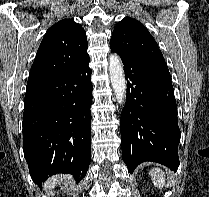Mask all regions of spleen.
I'll return each instance as SVG.
<instances>
[{"label": "spleen", "mask_w": 209, "mask_h": 197, "mask_svg": "<svg viewBox=\"0 0 209 197\" xmlns=\"http://www.w3.org/2000/svg\"><path fill=\"white\" fill-rule=\"evenodd\" d=\"M149 175L152 178L153 184L158 188H163L165 185V173L160 168H153Z\"/></svg>", "instance_id": "spleen-1"}]
</instances>
